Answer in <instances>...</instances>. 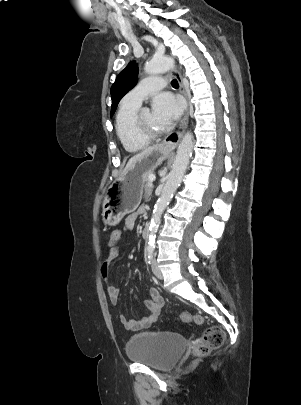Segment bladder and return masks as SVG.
Masks as SVG:
<instances>
[{"mask_svg": "<svg viewBox=\"0 0 301 405\" xmlns=\"http://www.w3.org/2000/svg\"><path fill=\"white\" fill-rule=\"evenodd\" d=\"M184 349L185 339L169 332H141L132 336L126 344V354L131 361L160 371L171 369Z\"/></svg>", "mask_w": 301, "mask_h": 405, "instance_id": "bladder-1", "label": "bladder"}]
</instances>
